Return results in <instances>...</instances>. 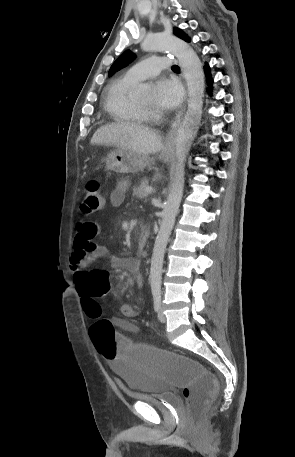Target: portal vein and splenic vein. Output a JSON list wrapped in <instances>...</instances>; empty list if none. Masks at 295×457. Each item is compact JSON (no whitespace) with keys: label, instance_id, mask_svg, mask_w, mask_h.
<instances>
[{"label":"portal vein and splenic vein","instance_id":"18ae733b","mask_svg":"<svg viewBox=\"0 0 295 457\" xmlns=\"http://www.w3.org/2000/svg\"><path fill=\"white\" fill-rule=\"evenodd\" d=\"M152 192V187H146L145 188V196L149 195Z\"/></svg>","mask_w":295,"mask_h":457}]
</instances>
